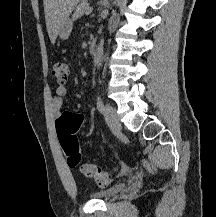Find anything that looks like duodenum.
Wrapping results in <instances>:
<instances>
[{"label": "duodenum", "instance_id": "1", "mask_svg": "<svg viewBox=\"0 0 216 217\" xmlns=\"http://www.w3.org/2000/svg\"><path fill=\"white\" fill-rule=\"evenodd\" d=\"M96 46H97V41H96V39H91L90 41H89V52L91 53V54H93L94 52H95V50H96Z\"/></svg>", "mask_w": 216, "mask_h": 217}]
</instances>
